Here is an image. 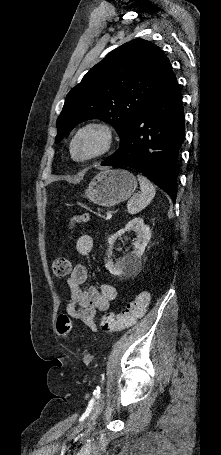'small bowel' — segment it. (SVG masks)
<instances>
[{
  "mask_svg": "<svg viewBox=\"0 0 221 455\" xmlns=\"http://www.w3.org/2000/svg\"><path fill=\"white\" fill-rule=\"evenodd\" d=\"M93 249V238L89 234H82L76 241V250L79 255L86 257ZM89 270L86 265L77 263L67 279L69 301L66 313L92 329H96L98 312H107L110 303L116 297V289L108 283H100L98 287L88 286Z\"/></svg>",
  "mask_w": 221,
  "mask_h": 455,
  "instance_id": "c3829d8e",
  "label": "small bowel"
}]
</instances>
